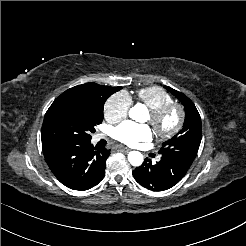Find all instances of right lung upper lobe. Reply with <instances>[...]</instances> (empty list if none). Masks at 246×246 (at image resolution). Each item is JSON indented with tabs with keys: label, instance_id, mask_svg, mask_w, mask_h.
Returning a JSON list of instances; mask_svg holds the SVG:
<instances>
[{
	"label": "right lung upper lobe",
	"instance_id": "1",
	"mask_svg": "<svg viewBox=\"0 0 246 246\" xmlns=\"http://www.w3.org/2000/svg\"><path fill=\"white\" fill-rule=\"evenodd\" d=\"M121 88L122 87L102 86L96 83H86L66 90L58 98H61L68 94H84L91 99L99 100L104 98L105 96L112 95L113 93L119 91Z\"/></svg>",
	"mask_w": 246,
	"mask_h": 246
}]
</instances>
